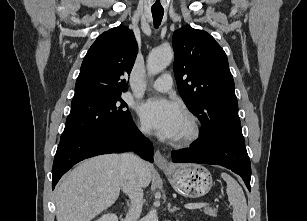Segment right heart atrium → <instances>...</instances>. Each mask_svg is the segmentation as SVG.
Instances as JSON below:
<instances>
[{"label": "right heart atrium", "mask_w": 307, "mask_h": 221, "mask_svg": "<svg viewBox=\"0 0 307 221\" xmlns=\"http://www.w3.org/2000/svg\"><path fill=\"white\" fill-rule=\"evenodd\" d=\"M139 131L143 135H148L149 134V130L144 125H140L139 126Z\"/></svg>", "instance_id": "d8ad5b80"}]
</instances>
